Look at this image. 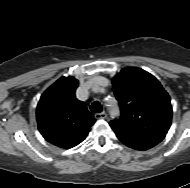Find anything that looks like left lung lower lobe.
<instances>
[{
    "instance_id": "0a47b994",
    "label": "left lung lower lobe",
    "mask_w": 190,
    "mask_h": 188,
    "mask_svg": "<svg viewBox=\"0 0 190 188\" xmlns=\"http://www.w3.org/2000/svg\"><path fill=\"white\" fill-rule=\"evenodd\" d=\"M110 126L122 143L136 150L150 149L165 137L163 134L143 132L117 123H110Z\"/></svg>"
}]
</instances>
